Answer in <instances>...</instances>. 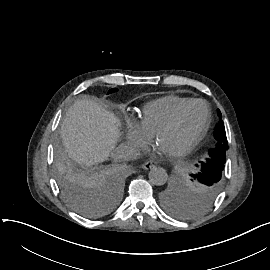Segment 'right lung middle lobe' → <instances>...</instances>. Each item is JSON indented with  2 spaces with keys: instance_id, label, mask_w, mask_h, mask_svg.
<instances>
[{
  "instance_id": "dd1d6c3e",
  "label": "right lung middle lobe",
  "mask_w": 270,
  "mask_h": 270,
  "mask_svg": "<svg viewBox=\"0 0 270 270\" xmlns=\"http://www.w3.org/2000/svg\"><path fill=\"white\" fill-rule=\"evenodd\" d=\"M116 91L117 89L113 88L108 94ZM56 179L65 202L73 210L87 217H96L102 213L92 205L91 190L94 185L91 174L80 172L67 161L60 159L56 168ZM112 186L113 192H117L119 186L114 184Z\"/></svg>"
}]
</instances>
